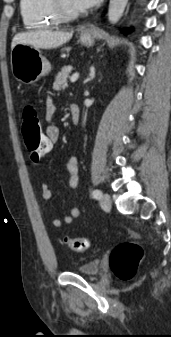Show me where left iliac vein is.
<instances>
[{
  "instance_id": "obj_1",
  "label": "left iliac vein",
  "mask_w": 171,
  "mask_h": 337,
  "mask_svg": "<svg viewBox=\"0 0 171 337\" xmlns=\"http://www.w3.org/2000/svg\"><path fill=\"white\" fill-rule=\"evenodd\" d=\"M100 206L104 210H110L111 208V197L108 193L103 194L100 200Z\"/></svg>"
}]
</instances>
